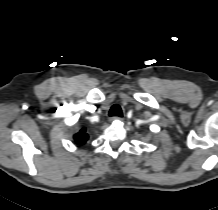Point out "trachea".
I'll list each match as a JSON object with an SVG mask.
<instances>
[{
    "label": "trachea",
    "mask_w": 218,
    "mask_h": 210,
    "mask_svg": "<svg viewBox=\"0 0 218 210\" xmlns=\"http://www.w3.org/2000/svg\"><path fill=\"white\" fill-rule=\"evenodd\" d=\"M109 116L122 117L121 107L118 104L113 105L109 111Z\"/></svg>",
    "instance_id": "trachea-1"
}]
</instances>
